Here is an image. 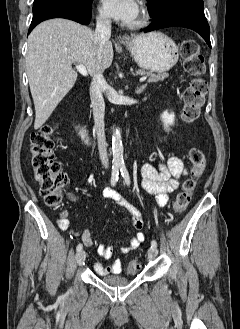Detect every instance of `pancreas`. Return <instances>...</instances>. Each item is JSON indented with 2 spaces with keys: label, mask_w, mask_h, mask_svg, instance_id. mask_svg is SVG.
<instances>
[{
  "label": "pancreas",
  "mask_w": 240,
  "mask_h": 329,
  "mask_svg": "<svg viewBox=\"0 0 240 329\" xmlns=\"http://www.w3.org/2000/svg\"><path fill=\"white\" fill-rule=\"evenodd\" d=\"M137 75H141V76H144V75H147L149 76V79H148V82L151 83V82H157V81H163L165 78L168 77V74L167 73H161V74H152V73H145L144 71H137L136 72Z\"/></svg>",
  "instance_id": "1"
}]
</instances>
